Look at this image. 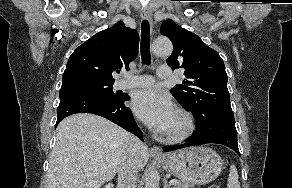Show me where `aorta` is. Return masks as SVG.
<instances>
[{
	"label": "aorta",
	"instance_id": "obj_1",
	"mask_svg": "<svg viewBox=\"0 0 292 188\" xmlns=\"http://www.w3.org/2000/svg\"><path fill=\"white\" fill-rule=\"evenodd\" d=\"M173 46L169 39L158 38L152 44V51L157 56H169ZM145 188H159V175L155 170H150L145 181Z\"/></svg>",
	"mask_w": 292,
	"mask_h": 188
}]
</instances>
